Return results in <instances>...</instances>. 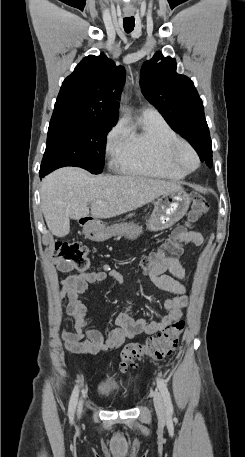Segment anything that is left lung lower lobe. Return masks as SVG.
<instances>
[{
    "instance_id": "0a47b994",
    "label": "left lung lower lobe",
    "mask_w": 245,
    "mask_h": 457,
    "mask_svg": "<svg viewBox=\"0 0 245 457\" xmlns=\"http://www.w3.org/2000/svg\"><path fill=\"white\" fill-rule=\"evenodd\" d=\"M201 161H205L206 164L212 167V144L211 140L204 141L203 144L198 148L197 151Z\"/></svg>"
}]
</instances>
